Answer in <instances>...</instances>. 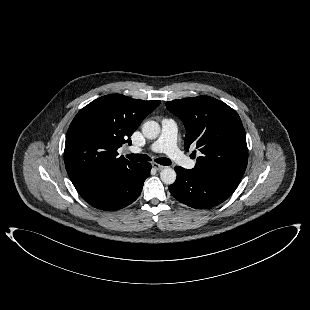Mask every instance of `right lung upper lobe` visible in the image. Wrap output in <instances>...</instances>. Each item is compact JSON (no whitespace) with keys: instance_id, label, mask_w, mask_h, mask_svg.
Here are the masks:
<instances>
[{"instance_id":"right-lung-upper-lobe-1","label":"right lung upper lobe","mask_w":310,"mask_h":310,"mask_svg":"<svg viewBox=\"0 0 310 310\" xmlns=\"http://www.w3.org/2000/svg\"><path fill=\"white\" fill-rule=\"evenodd\" d=\"M160 101H143L120 94L100 97L82 108L67 135L64 160L67 173L79 188L137 163L118 157L117 149Z\"/></svg>"}]
</instances>
